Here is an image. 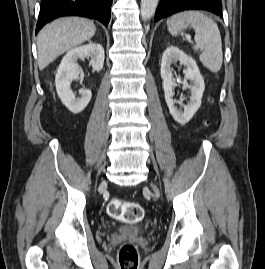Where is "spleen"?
<instances>
[{
  "label": "spleen",
  "mask_w": 265,
  "mask_h": 269,
  "mask_svg": "<svg viewBox=\"0 0 265 269\" xmlns=\"http://www.w3.org/2000/svg\"><path fill=\"white\" fill-rule=\"evenodd\" d=\"M168 30L176 36L181 30L191 27L195 30V46L202 50L201 63L212 73H217L222 66V41L217 24L201 11L188 10L174 14L167 20Z\"/></svg>",
  "instance_id": "3e777b00"
}]
</instances>
